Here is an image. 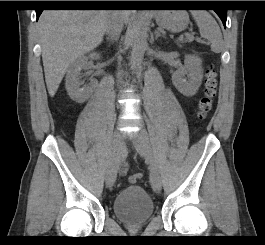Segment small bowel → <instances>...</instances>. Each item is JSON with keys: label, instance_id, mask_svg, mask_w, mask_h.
Returning <instances> with one entry per match:
<instances>
[{"label": "small bowel", "instance_id": "small-bowel-1", "mask_svg": "<svg viewBox=\"0 0 265 245\" xmlns=\"http://www.w3.org/2000/svg\"><path fill=\"white\" fill-rule=\"evenodd\" d=\"M125 170V168L124 167H122V171H124Z\"/></svg>", "mask_w": 265, "mask_h": 245}]
</instances>
